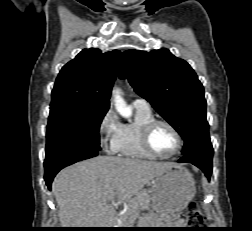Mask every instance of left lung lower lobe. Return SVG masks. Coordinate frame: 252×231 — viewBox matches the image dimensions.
<instances>
[{"label":"left lung lower lobe","mask_w":252,"mask_h":231,"mask_svg":"<svg viewBox=\"0 0 252 231\" xmlns=\"http://www.w3.org/2000/svg\"><path fill=\"white\" fill-rule=\"evenodd\" d=\"M212 158L213 148L210 146L186 153L178 160V162L192 163L199 167L208 176V178H210L212 173Z\"/></svg>","instance_id":"0a47b994"}]
</instances>
